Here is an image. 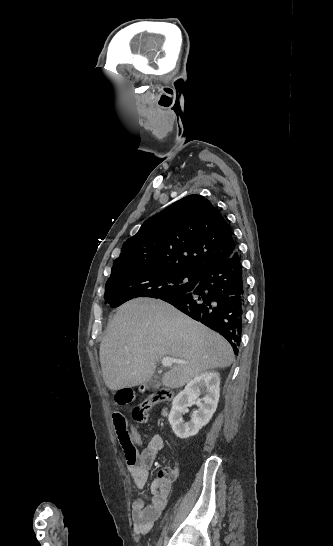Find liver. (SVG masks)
Returning <instances> with one entry per match:
<instances>
[{
  "mask_svg": "<svg viewBox=\"0 0 333 546\" xmlns=\"http://www.w3.org/2000/svg\"><path fill=\"white\" fill-rule=\"evenodd\" d=\"M100 363L110 390L147 383L157 362L166 356L174 363L162 383L178 388L203 372L232 364L230 344L218 333L156 299L138 298L121 305L109 321L100 344Z\"/></svg>",
  "mask_w": 333,
  "mask_h": 546,
  "instance_id": "liver-1",
  "label": "liver"
}]
</instances>
